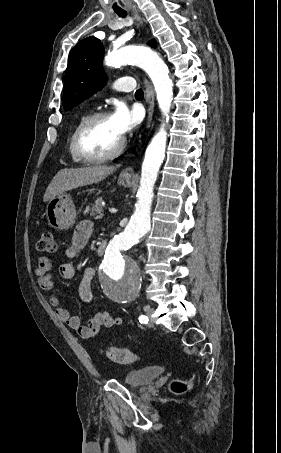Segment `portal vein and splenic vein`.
I'll list each match as a JSON object with an SVG mask.
<instances>
[{
  "label": "portal vein and splenic vein",
  "mask_w": 281,
  "mask_h": 453,
  "mask_svg": "<svg viewBox=\"0 0 281 453\" xmlns=\"http://www.w3.org/2000/svg\"><path fill=\"white\" fill-rule=\"evenodd\" d=\"M109 210H110V212H111L112 214H115V213L117 214V213H118V212H117V208H109Z\"/></svg>",
  "instance_id": "1"
}]
</instances>
